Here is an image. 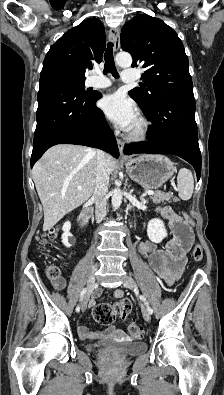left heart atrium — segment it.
<instances>
[{"mask_svg": "<svg viewBox=\"0 0 224 395\" xmlns=\"http://www.w3.org/2000/svg\"><path fill=\"white\" fill-rule=\"evenodd\" d=\"M100 106L106 116L124 130H130L138 119L136 106L120 92L103 97Z\"/></svg>", "mask_w": 224, "mask_h": 395, "instance_id": "39dd6f15", "label": "left heart atrium"}]
</instances>
